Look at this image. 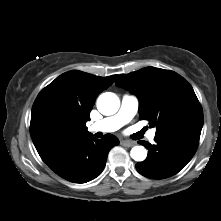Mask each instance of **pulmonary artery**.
<instances>
[{"mask_svg":"<svg viewBox=\"0 0 221 221\" xmlns=\"http://www.w3.org/2000/svg\"><path fill=\"white\" fill-rule=\"evenodd\" d=\"M139 106L138 98L134 95H124L121 100L119 111L110 117H106L91 125L90 130L93 132H114L127 124L137 113ZM156 131L150 130L147 134L149 140H153Z\"/></svg>","mask_w":221,"mask_h":221,"instance_id":"e3ab8cb5","label":"pulmonary artery"}]
</instances>
